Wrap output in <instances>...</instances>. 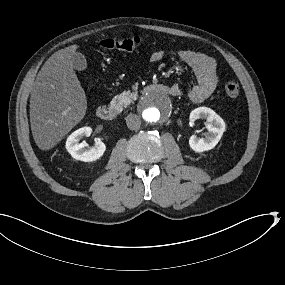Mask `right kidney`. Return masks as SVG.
<instances>
[{
  "mask_svg": "<svg viewBox=\"0 0 285 285\" xmlns=\"http://www.w3.org/2000/svg\"><path fill=\"white\" fill-rule=\"evenodd\" d=\"M91 128L83 127L73 132L66 142L67 151L70 155L82 162H93L100 159L106 152V145L102 141L95 142L91 147H87L86 142L80 143L84 136L91 135Z\"/></svg>",
  "mask_w": 285,
  "mask_h": 285,
  "instance_id": "right-kidney-1",
  "label": "right kidney"
}]
</instances>
